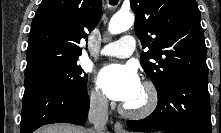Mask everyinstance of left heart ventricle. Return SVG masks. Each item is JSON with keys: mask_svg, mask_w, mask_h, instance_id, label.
Here are the masks:
<instances>
[{"mask_svg": "<svg viewBox=\"0 0 221 133\" xmlns=\"http://www.w3.org/2000/svg\"><path fill=\"white\" fill-rule=\"evenodd\" d=\"M144 100H145V93L143 89H141L137 97L131 102L127 103L126 105L131 106V107H136V106L141 105L144 102Z\"/></svg>", "mask_w": 221, "mask_h": 133, "instance_id": "b2bd125f", "label": "left heart ventricle"}]
</instances>
